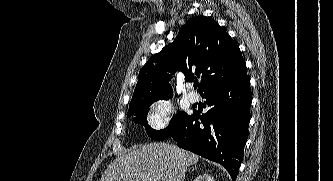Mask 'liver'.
<instances>
[{"label": "liver", "mask_w": 333, "mask_h": 181, "mask_svg": "<svg viewBox=\"0 0 333 181\" xmlns=\"http://www.w3.org/2000/svg\"><path fill=\"white\" fill-rule=\"evenodd\" d=\"M199 156L166 143H151L117 157L100 181H184Z\"/></svg>", "instance_id": "6515ba94"}]
</instances>
